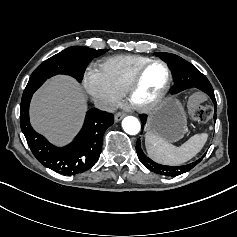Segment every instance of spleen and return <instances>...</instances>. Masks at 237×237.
Returning <instances> with one entry per match:
<instances>
[{"label": "spleen", "instance_id": "1", "mask_svg": "<svg viewBox=\"0 0 237 237\" xmlns=\"http://www.w3.org/2000/svg\"><path fill=\"white\" fill-rule=\"evenodd\" d=\"M206 139V134H196L187 142L177 147L167 142L160 134L148 131L146 133V148L148 155L155 161L169 165H178L197 154Z\"/></svg>", "mask_w": 237, "mask_h": 237}]
</instances>
